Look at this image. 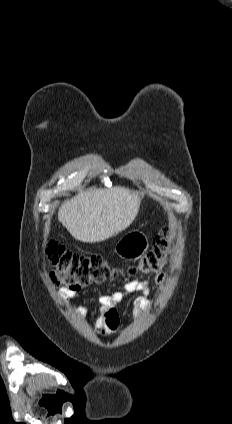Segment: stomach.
Here are the masks:
<instances>
[{
	"mask_svg": "<svg viewBox=\"0 0 232 424\" xmlns=\"http://www.w3.org/2000/svg\"><path fill=\"white\" fill-rule=\"evenodd\" d=\"M148 246V239L143 232L132 231L118 241L115 252L125 259H138L147 251Z\"/></svg>",
	"mask_w": 232,
	"mask_h": 424,
	"instance_id": "obj_1",
	"label": "stomach"
}]
</instances>
